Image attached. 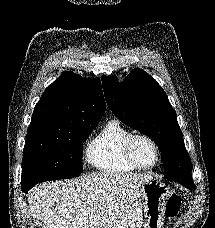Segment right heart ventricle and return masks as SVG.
<instances>
[{
  "mask_svg": "<svg viewBox=\"0 0 215 228\" xmlns=\"http://www.w3.org/2000/svg\"><path fill=\"white\" fill-rule=\"evenodd\" d=\"M134 132L118 119L104 124L86 146V159L96 171L126 174L133 169L124 156V144Z\"/></svg>",
  "mask_w": 215,
  "mask_h": 228,
  "instance_id": "right-heart-ventricle-1",
  "label": "right heart ventricle"
}]
</instances>
